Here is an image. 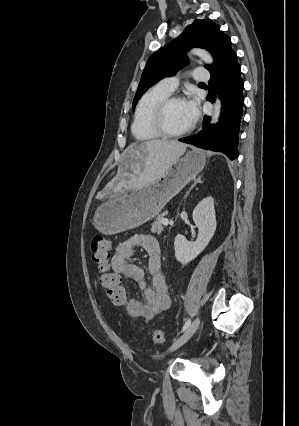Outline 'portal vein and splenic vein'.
I'll use <instances>...</instances> for the list:
<instances>
[{"label":"portal vein and splenic vein","mask_w":299,"mask_h":426,"mask_svg":"<svg viewBox=\"0 0 299 426\" xmlns=\"http://www.w3.org/2000/svg\"><path fill=\"white\" fill-rule=\"evenodd\" d=\"M162 223H163L164 225H168V224H169V220L165 218V219H163V220H162Z\"/></svg>","instance_id":"obj_1"}]
</instances>
